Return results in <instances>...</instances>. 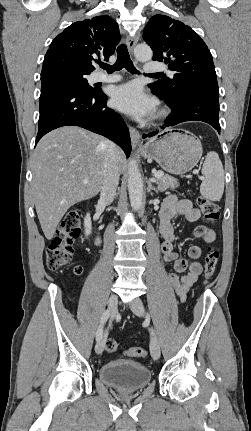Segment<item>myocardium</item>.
Masks as SVG:
<instances>
[{
    "label": "myocardium",
    "instance_id": "f54148a6",
    "mask_svg": "<svg viewBox=\"0 0 251 431\" xmlns=\"http://www.w3.org/2000/svg\"><path fill=\"white\" fill-rule=\"evenodd\" d=\"M167 115V111L164 108H160L156 111L155 115H154V119L155 120H161L163 118H165Z\"/></svg>",
    "mask_w": 251,
    "mask_h": 431
}]
</instances>
